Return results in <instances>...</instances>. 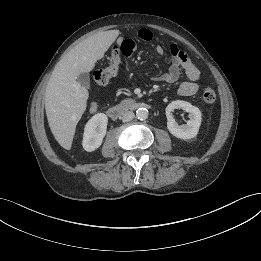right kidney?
<instances>
[{"mask_svg":"<svg viewBox=\"0 0 261 261\" xmlns=\"http://www.w3.org/2000/svg\"><path fill=\"white\" fill-rule=\"evenodd\" d=\"M108 117L97 113L86 123L83 133L82 146L85 151L92 152L99 148L107 131Z\"/></svg>","mask_w":261,"mask_h":261,"instance_id":"ca27d5eb","label":"right kidney"}]
</instances>
